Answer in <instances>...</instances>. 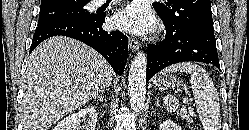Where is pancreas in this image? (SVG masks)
<instances>
[{
    "instance_id": "1",
    "label": "pancreas",
    "mask_w": 249,
    "mask_h": 130,
    "mask_svg": "<svg viewBox=\"0 0 249 130\" xmlns=\"http://www.w3.org/2000/svg\"><path fill=\"white\" fill-rule=\"evenodd\" d=\"M179 115H180L182 118L188 120L189 122H192V121H193L192 118L190 117V115L187 114V110H185V109L182 110V111H180Z\"/></svg>"
}]
</instances>
